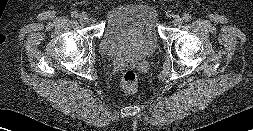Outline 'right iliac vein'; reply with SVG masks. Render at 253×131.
<instances>
[{
	"label": "right iliac vein",
	"instance_id": "63e3f726",
	"mask_svg": "<svg viewBox=\"0 0 253 131\" xmlns=\"http://www.w3.org/2000/svg\"><path fill=\"white\" fill-rule=\"evenodd\" d=\"M79 18L84 23H88L90 21V18L88 16V14H86V13L80 14Z\"/></svg>",
	"mask_w": 253,
	"mask_h": 131
}]
</instances>
